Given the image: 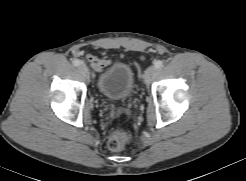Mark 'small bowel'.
<instances>
[{
  "instance_id": "1",
  "label": "small bowel",
  "mask_w": 246,
  "mask_h": 181,
  "mask_svg": "<svg viewBox=\"0 0 246 181\" xmlns=\"http://www.w3.org/2000/svg\"><path fill=\"white\" fill-rule=\"evenodd\" d=\"M87 59L91 63L92 67L96 71H102L109 65V61L108 60L102 59V58H98V57L93 56V55H89L87 57Z\"/></svg>"
}]
</instances>
